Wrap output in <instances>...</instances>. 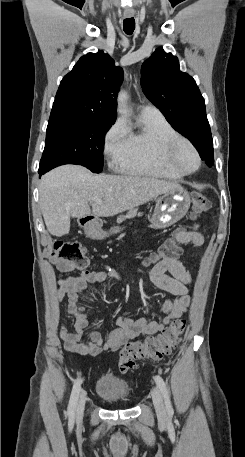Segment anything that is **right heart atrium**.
Returning a JSON list of instances; mask_svg holds the SVG:
<instances>
[{
	"instance_id": "d8ad5b80",
	"label": "right heart atrium",
	"mask_w": 245,
	"mask_h": 457,
	"mask_svg": "<svg viewBox=\"0 0 245 457\" xmlns=\"http://www.w3.org/2000/svg\"><path fill=\"white\" fill-rule=\"evenodd\" d=\"M125 141L126 128L123 120L121 118H117L108 128L104 136L106 152L108 154H113L125 144Z\"/></svg>"
}]
</instances>
